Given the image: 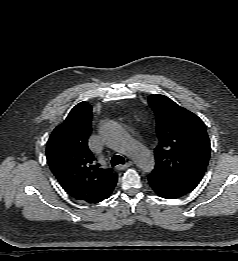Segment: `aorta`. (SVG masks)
<instances>
[{"mask_svg":"<svg viewBox=\"0 0 238 261\" xmlns=\"http://www.w3.org/2000/svg\"><path fill=\"white\" fill-rule=\"evenodd\" d=\"M103 133L118 151L130 157L141 170L147 173L153 170L154 156L145 146L132 140L118 124L106 122Z\"/></svg>","mask_w":238,"mask_h":261,"instance_id":"762f6f07","label":"aorta"}]
</instances>
